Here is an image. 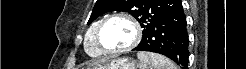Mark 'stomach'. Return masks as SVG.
<instances>
[{"instance_id": "obj_1", "label": "stomach", "mask_w": 246, "mask_h": 69, "mask_svg": "<svg viewBox=\"0 0 246 69\" xmlns=\"http://www.w3.org/2000/svg\"><path fill=\"white\" fill-rule=\"evenodd\" d=\"M85 69H139L138 65L128 58H117L109 62L94 64Z\"/></svg>"}]
</instances>
